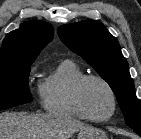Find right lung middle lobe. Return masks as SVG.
Returning <instances> with one entry per match:
<instances>
[{
    "label": "right lung middle lobe",
    "mask_w": 141,
    "mask_h": 139,
    "mask_svg": "<svg viewBox=\"0 0 141 139\" xmlns=\"http://www.w3.org/2000/svg\"><path fill=\"white\" fill-rule=\"evenodd\" d=\"M30 64L0 66V111L31 102L28 77Z\"/></svg>",
    "instance_id": "1"
}]
</instances>
